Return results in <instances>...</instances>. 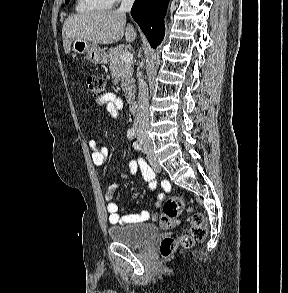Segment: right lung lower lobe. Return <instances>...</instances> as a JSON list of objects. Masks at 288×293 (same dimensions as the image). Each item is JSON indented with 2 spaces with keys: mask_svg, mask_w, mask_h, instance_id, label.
<instances>
[{
  "mask_svg": "<svg viewBox=\"0 0 288 293\" xmlns=\"http://www.w3.org/2000/svg\"><path fill=\"white\" fill-rule=\"evenodd\" d=\"M168 0H135L131 15L142 29L152 47H157L164 38V15Z\"/></svg>",
  "mask_w": 288,
  "mask_h": 293,
  "instance_id": "right-lung-lower-lobe-1",
  "label": "right lung lower lobe"
}]
</instances>
